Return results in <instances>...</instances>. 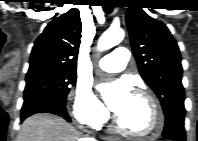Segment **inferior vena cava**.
<instances>
[{"label": "inferior vena cava", "instance_id": "1", "mask_svg": "<svg viewBox=\"0 0 198 141\" xmlns=\"http://www.w3.org/2000/svg\"><path fill=\"white\" fill-rule=\"evenodd\" d=\"M85 141H94V139L88 138V139H85Z\"/></svg>", "mask_w": 198, "mask_h": 141}]
</instances>
